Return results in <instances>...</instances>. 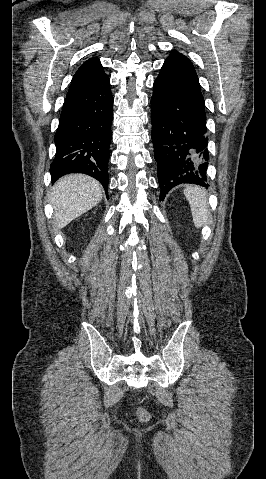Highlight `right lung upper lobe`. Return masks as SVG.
<instances>
[{"label": "right lung upper lobe", "mask_w": 266, "mask_h": 479, "mask_svg": "<svg viewBox=\"0 0 266 479\" xmlns=\"http://www.w3.org/2000/svg\"><path fill=\"white\" fill-rule=\"evenodd\" d=\"M104 74L103 67L98 58H90L77 70L72 81L87 80Z\"/></svg>", "instance_id": "1"}]
</instances>
